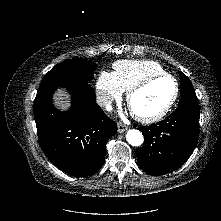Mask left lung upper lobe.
Returning a JSON list of instances; mask_svg holds the SVG:
<instances>
[{
  "label": "left lung upper lobe",
  "mask_w": 221,
  "mask_h": 221,
  "mask_svg": "<svg viewBox=\"0 0 221 221\" xmlns=\"http://www.w3.org/2000/svg\"><path fill=\"white\" fill-rule=\"evenodd\" d=\"M181 80V98L178 107H196L199 108L198 98L189 78L180 72Z\"/></svg>",
  "instance_id": "5c2ea615"
}]
</instances>
